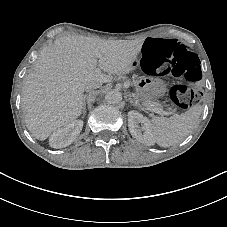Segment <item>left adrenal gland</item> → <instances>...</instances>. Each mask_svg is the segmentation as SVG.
<instances>
[{"mask_svg": "<svg viewBox=\"0 0 227 227\" xmlns=\"http://www.w3.org/2000/svg\"><path fill=\"white\" fill-rule=\"evenodd\" d=\"M130 103H131L132 106L139 108V106L135 102H133L132 100H130Z\"/></svg>", "mask_w": 227, "mask_h": 227, "instance_id": "a2214340", "label": "left adrenal gland"}]
</instances>
